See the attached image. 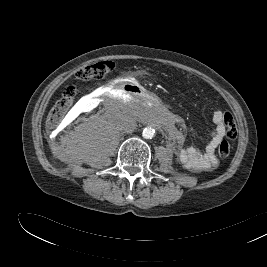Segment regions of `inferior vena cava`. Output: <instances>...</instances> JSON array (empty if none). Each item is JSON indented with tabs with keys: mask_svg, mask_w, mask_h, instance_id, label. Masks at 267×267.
<instances>
[{
	"mask_svg": "<svg viewBox=\"0 0 267 267\" xmlns=\"http://www.w3.org/2000/svg\"><path fill=\"white\" fill-rule=\"evenodd\" d=\"M117 129L126 133H132L136 128V122L129 116H122L116 122Z\"/></svg>",
	"mask_w": 267,
	"mask_h": 267,
	"instance_id": "obj_1",
	"label": "inferior vena cava"
}]
</instances>
